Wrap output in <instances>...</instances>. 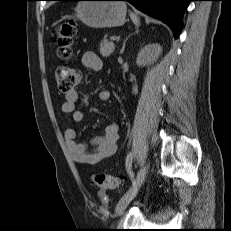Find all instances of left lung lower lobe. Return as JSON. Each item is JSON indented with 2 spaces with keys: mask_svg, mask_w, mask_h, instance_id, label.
<instances>
[{
  "mask_svg": "<svg viewBox=\"0 0 231 231\" xmlns=\"http://www.w3.org/2000/svg\"><path fill=\"white\" fill-rule=\"evenodd\" d=\"M77 1V0H62ZM131 3L143 13L158 18L166 23L178 37L182 28L184 9L191 0H121Z\"/></svg>",
  "mask_w": 231,
  "mask_h": 231,
  "instance_id": "1",
  "label": "left lung lower lobe"
}]
</instances>
